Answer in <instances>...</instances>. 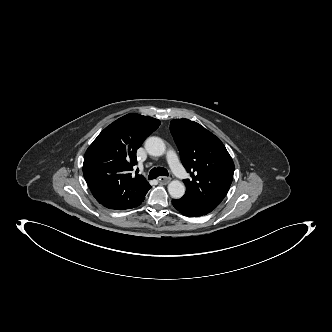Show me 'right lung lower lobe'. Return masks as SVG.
I'll return each mask as SVG.
<instances>
[{"mask_svg": "<svg viewBox=\"0 0 332 332\" xmlns=\"http://www.w3.org/2000/svg\"><path fill=\"white\" fill-rule=\"evenodd\" d=\"M144 198H145V196H144L141 200H139L138 202L134 203V204H133L132 206H130L129 208H134V207L139 206V205L143 202Z\"/></svg>", "mask_w": 332, "mask_h": 332, "instance_id": "1", "label": "right lung lower lobe"}]
</instances>
